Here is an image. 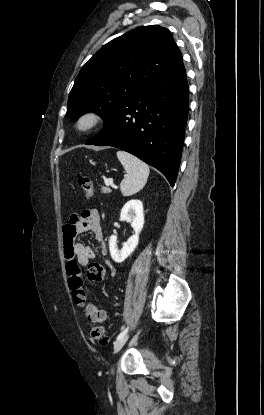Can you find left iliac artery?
<instances>
[{
    "label": "left iliac artery",
    "mask_w": 264,
    "mask_h": 415,
    "mask_svg": "<svg viewBox=\"0 0 264 415\" xmlns=\"http://www.w3.org/2000/svg\"><path fill=\"white\" fill-rule=\"evenodd\" d=\"M128 332V327L125 328L118 336H117V340L122 338L124 335H126V333Z\"/></svg>",
    "instance_id": "44dca946"
}]
</instances>
